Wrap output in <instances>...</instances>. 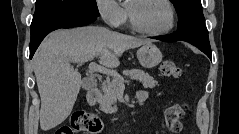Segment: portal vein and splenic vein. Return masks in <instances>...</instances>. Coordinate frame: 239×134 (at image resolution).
Returning a JSON list of instances; mask_svg holds the SVG:
<instances>
[{
    "instance_id": "1",
    "label": "portal vein and splenic vein",
    "mask_w": 239,
    "mask_h": 134,
    "mask_svg": "<svg viewBox=\"0 0 239 134\" xmlns=\"http://www.w3.org/2000/svg\"><path fill=\"white\" fill-rule=\"evenodd\" d=\"M79 64H82V63H79ZM88 69L93 72H98V73H103L106 75L113 76L114 78H116L118 80V82H119L118 86L121 88H124V82H128V81H125L116 71H113L109 68L98 65L95 62H90Z\"/></svg>"
}]
</instances>
